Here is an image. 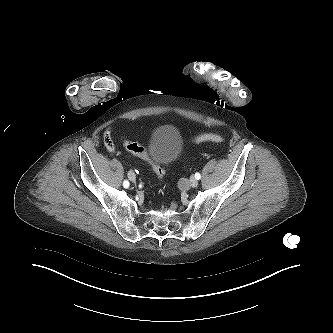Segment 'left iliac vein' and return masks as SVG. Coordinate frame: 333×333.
I'll return each instance as SVG.
<instances>
[{"label":"left iliac vein","mask_w":333,"mask_h":333,"mask_svg":"<svg viewBox=\"0 0 333 333\" xmlns=\"http://www.w3.org/2000/svg\"><path fill=\"white\" fill-rule=\"evenodd\" d=\"M189 185H190L191 187H197V185H198V181H197V179H196L194 176H191V177H190Z\"/></svg>","instance_id":"left-iliac-vein-1"}]
</instances>
